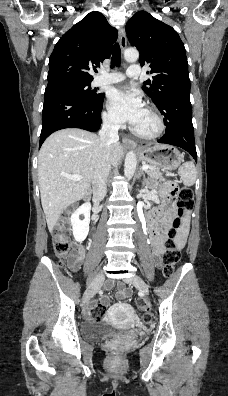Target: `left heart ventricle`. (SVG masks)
<instances>
[{"label": "left heart ventricle", "instance_id": "1", "mask_svg": "<svg viewBox=\"0 0 228 396\" xmlns=\"http://www.w3.org/2000/svg\"><path fill=\"white\" fill-rule=\"evenodd\" d=\"M134 127L141 133L149 134L157 129V122L152 114L145 109L140 121Z\"/></svg>", "mask_w": 228, "mask_h": 396}]
</instances>
